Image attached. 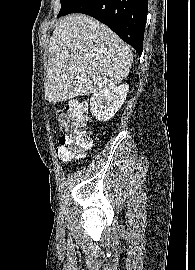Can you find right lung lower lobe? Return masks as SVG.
I'll return each instance as SVG.
<instances>
[{
    "mask_svg": "<svg viewBox=\"0 0 195 270\" xmlns=\"http://www.w3.org/2000/svg\"><path fill=\"white\" fill-rule=\"evenodd\" d=\"M147 11L148 0H76L63 15L83 13L96 18L141 55Z\"/></svg>",
    "mask_w": 195,
    "mask_h": 270,
    "instance_id": "right-lung-lower-lobe-1",
    "label": "right lung lower lobe"
}]
</instances>
